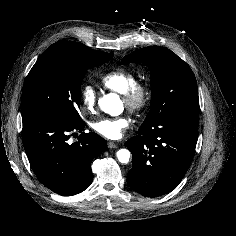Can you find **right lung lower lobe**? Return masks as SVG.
Masks as SVG:
<instances>
[{
	"instance_id": "right-lung-lower-lobe-1",
	"label": "right lung lower lobe",
	"mask_w": 236,
	"mask_h": 236,
	"mask_svg": "<svg viewBox=\"0 0 236 236\" xmlns=\"http://www.w3.org/2000/svg\"><path fill=\"white\" fill-rule=\"evenodd\" d=\"M82 119L72 123L54 117L23 122L22 141L30 165L40 182L62 196L84 191L92 181L91 163L107 149L95 133H84ZM80 132L78 142L68 143L70 133ZM71 134V135H73Z\"/></svg>"
}]
</instances>
